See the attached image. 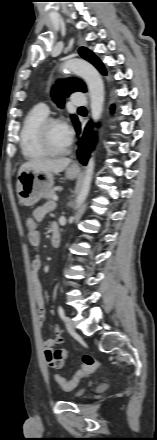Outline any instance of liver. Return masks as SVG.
<instances>
[{
  "label": "liver",
  "instance_id": "6515ba94",
  "mask_svg": "<svg viewBox=\"0 0 157 440\" xmlns=\"http://www.w3.org/2000/svg\"><path fill=\"white\" fill-rule=\"evenodd\" d=\"M70 163L69 158L33 159L21 165L18 175L30 170L58 173L65 170Z\"/></svg>",
  "mask_w": 157,
  "mask_h": 440
}]
</instances>
